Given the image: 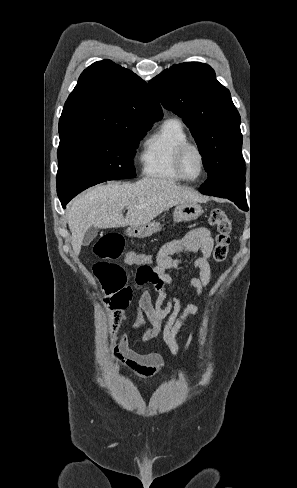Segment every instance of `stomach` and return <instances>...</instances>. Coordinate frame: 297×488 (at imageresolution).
<instances>
[{"mask_svg":"<svg viewBox=\"0 0 297 488\" xmlns=\"http://www.w3.org/2000/svg\"><path fill=\"white\" fill-rule=\"evenodd\" d=\"M203 213V208L198 202H185L178 204L173 212L175 222H189L198 219ZM161 230L160 222L152 221L139 226H131L127 229V235L136 238H146Z\"/></svg>","mask_w":297,"mask_h":488,"instance_id":"0dacf381","label":"stomach"}]
</instances>
